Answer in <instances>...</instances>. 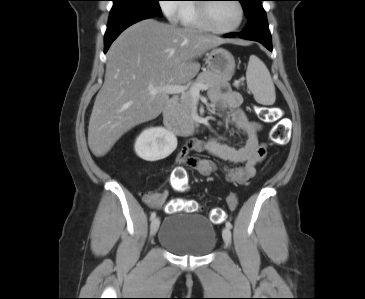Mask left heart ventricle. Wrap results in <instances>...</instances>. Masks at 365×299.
I'll return each mask as SVG.
<instances>
[{"instance_id": "obj_1", "label": "left heart ventricle", "mask_w": 365, "mask_h": 299, "mask_svg": "<svg viewBox=\"0 0 365 299\" xmlns=\"http://www.w3.org/2000/svg\"><path fill=\"white\" fill-rule=\"evenodd\" d=\"M210 16L213 26L217 28H231L238 23L240 13L234 1H227L224 3H212Z\"/></svg>"}]
</instances>
